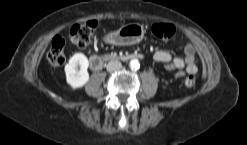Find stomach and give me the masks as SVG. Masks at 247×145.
<instances>
[{"label": "stomach", "mask_w": 247, "mask_h": 145, "mask_svg": "<svg viewBox=\"0 0 247 145\" xmlns=\"http://www.w3.org/2000/svg\"><path fill=\"white\" fill-rule=\"evenodd\" d=\"M144 37V29L139 24H127L107 34L105 40L114 45H133Z\"/></svg>", "instance_id": "stomach-1"}]
</instances>
